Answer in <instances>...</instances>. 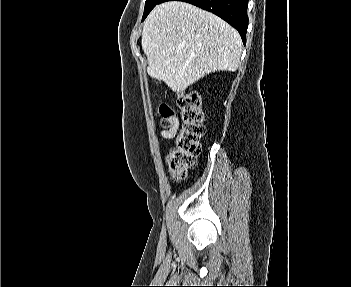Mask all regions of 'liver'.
<instances>
[{
  "mask_svg": "<svg viewBox=\"0 0 351 287\" xmlns=\"http://www.w3.org/2000/svg\"><path fill=\"white\" fill-rule=\"evenodd\" d=\"M148 74L182 92L206 74L235 71L242 40L236 29L191 4L169 1L148 15L142 31Z\"/></svg>",
  "mask_w": 351,
  "mask_h": 287,
  "instance_id": "6515ba94",
  "label": "liver"
}]
</instances>
